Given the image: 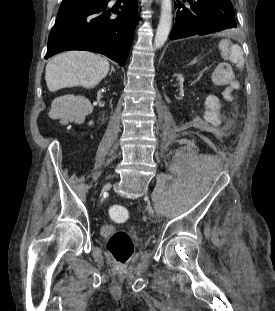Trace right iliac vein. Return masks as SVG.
<instances>
[{"label":"right iliac vein","instance_id":"63e3f726","mask_svg":"<svg viewBox=\"0 0 275 311\" xmlns=\"http://www.w3.org/2000/svg\"><path fill=\"white\" fill-rule=\"evenodd\" d=\"M110 186H111L110 183L105 184L103 189H102V193L105 192Z\"/></svg>","mask_w":275,"mask_h":311}]
</instances>
